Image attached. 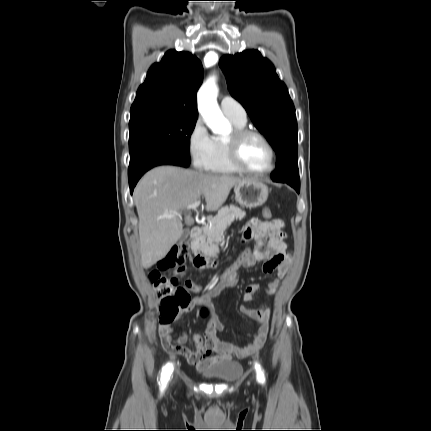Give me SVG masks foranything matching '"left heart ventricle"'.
Returning a JSON list of instances; mask_svg holds the SVG:
<instances>
[{
  "instance_id": "obj_1",
  "label": "left heart ventricle",
  "mask_w": 431,
  "mask_h": 431,
  "mask_svg": "<svg viewBox=\"0 0 431 431\" xmlns=\"http://www.w3.org/2000/svg\"><path fill=\"white\" fill-rule=\"evenodd\" d=\"M240 155L244 164L255 170H264L269 167L271 162L267 146L255 136L244 140L240 148Z\"/></svg>"
}]
</instances>
